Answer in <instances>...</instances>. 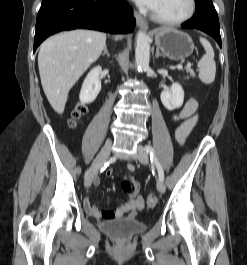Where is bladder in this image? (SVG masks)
Here are the masks:
<instances>
[{
  "label": "bladder",
  "mask_w": 247,
  "mask_h": 265,
  "mask_svg": "<svg viewBox=\"0 0 247 265\" xmlns=\"http://www.w3.org/2000/svg\"><path fill=\"white\" fill-rule=\"evenodd\" d=\"M99 226L103 232L117 240L129 239L147 228L145 223L128 218L106 219L101 221Z\"/></svg>",
  "instance_id": "bladder-1"
}]
</instances>
